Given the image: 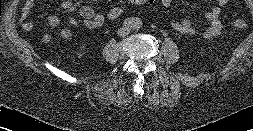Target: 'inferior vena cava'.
I'll list each match as a JSON object with an SVG mask.
<instances>
[{
	"mask_svg": "<svg viewBox=\"0 0 253 131\" xmlns=\"http://www.w3.org/2000/svg\"><path fill=\"white\" fill-rule=\"evenodd\" d=\"M129 33V30L127 28H122L119 30V36H125Z\"/></svg>",
	"mask_w": 253,
	"mask_h": 131,
	"instance_id": "obj_1",
	"label": "inferior vena cava"
}]
</instances>
